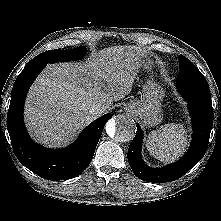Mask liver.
<instances>
[{"instance_id":"obj_1","label":"liver","mask_w":221,"mask_h":221,"mask_svg":"<svg viewBox=\"0 0 221 221\" xmlns=\"http://www.w3.org/2000/svg\"><path fill=\"white\" fill-rule=\"evenodd\" d=\"M143 58L139 47L120 45L83 63L48 65L27 96L24 117L30 135L49 147L69 144L97 118L90 113L93 105L106 112L130 93Z\"/></svg>"}]
</instances>
